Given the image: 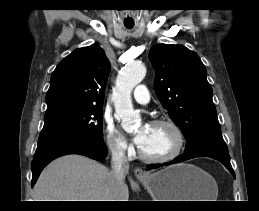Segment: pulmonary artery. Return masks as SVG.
<instances>
[{
    "instance_id": "obj_1",
    "label": "pulmonary artery",
    "mask_w": 259,
    "mask_h": 211,
    "mask_svg": "<svg viewBox=\"0 0 259 211\" xmlns=\"http://www.w3.org/2000/svg\"><path fill=\"white\" fill-rule=\"evenodd\" d=\"M133 96L140 104H147L150 100L148 90L144 85H138L133 92Z\"/></svg>"
}]
</instances>
